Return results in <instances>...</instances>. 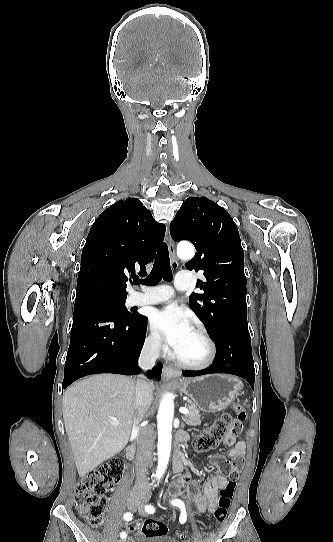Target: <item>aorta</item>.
I'll list each match as a JSON object with an SVG mask.
<instances>
[{"mask_svg": "<svg viewBox=\"0 0 333 542\" xmlns=\"http://www.w3.org/2000/svg\"><path fill=\"white\" fill-rule=\"evenodd\" d=\"M180 254L183 258H192L194 256V248L190 244H185L180 248ZM174 418V402L171 394H165L162 398L158 410V466L156 470V478H162L170 458L171 450V432L172 422Z\"/></svg>", "mask_w": 333, "mask_h": 542, "instance_id": "obj_1", "label": "aorta"}]
</instances>
